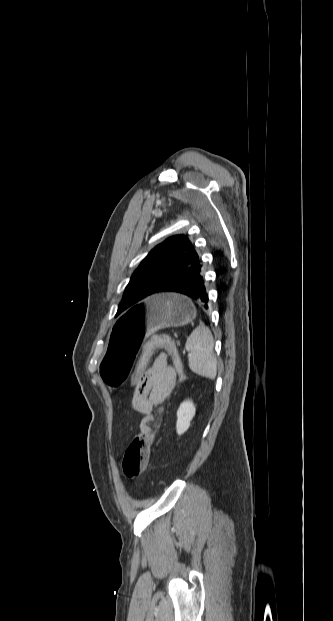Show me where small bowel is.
<instances>
[{
    "label": "small bowel",
    "mask_w": 333,
    "mask_h": 621,
    "mask_svg": "<svg viewBox=\"0 0 333 621\" xmlns=\"http://www.w3.org/2000/svg\"><path fill=\"white\" fill-rule=\"evenodd\" d=\"M176 372L168 365L164 354L159 355L148 368L132 396V407L144 415L140 422L142 432L149 431V422L153 419L154 406L163 402L173 390Z\"/></svg>",
    "instance_id": "c3829d8e"
}]
</instances>
